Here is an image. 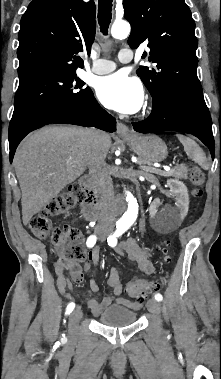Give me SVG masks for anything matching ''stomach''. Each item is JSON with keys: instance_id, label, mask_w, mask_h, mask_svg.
<instances>
[{"instance_id": "1", "label": "stomach", "mask_w": 221, "mask_h": 379, "mask_svg": "<svg viewBox=\"0 0 221 379\" xmlns=\"http://www.w3.org/2000/svg\"><path fill=\"white\" fill-rule=\"evenodd\" d=\"M124 140L147 164L161 162L166 159L168 150L165 142L156 135L133 134Z\"/></svg>"}]
</instances>
